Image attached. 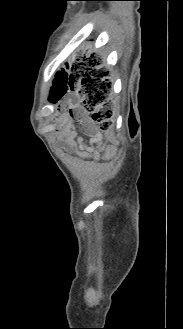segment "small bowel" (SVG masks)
<instances>
[{
	"instance_id": "small-bowel-1",
	"label": "small bowel",
	"mask_w": 183,
	"mask_h": 329,
	"mask_svg": "<svg viewBox=\"0 0 183 329\" xmlns=\"http://www.w3.org/2000/svg\"><path fill=\"white\" fill-rule=\"evenodd\" d=\"M78 119L83 125L84 130L90 135V140L88 141L84 138H78L76 140L80 153H89L94 158H100L103 153V147L101 145L100 135L98 133L97 128L83 112L78 114ZM64 135L67 139L68 145L73 146L74 140L76 138V131L72 119H68L65 121Z\"/></svg>"
}]
</instances>
